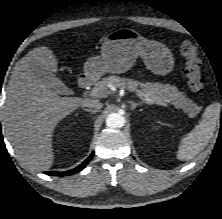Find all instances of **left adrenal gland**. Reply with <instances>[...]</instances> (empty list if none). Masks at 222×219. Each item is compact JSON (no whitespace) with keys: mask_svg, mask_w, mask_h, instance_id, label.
Here are the masks:
<instances>
[{"mask_svg":"<svg viewBox=\"0 0 222 219\" xmlns=\"http://www.w3.org/2000/svg\"><path fill=\"white\" fill-rule=\"evenodd\" d=\"M129 103L131 104V109H132V110H135L138 106L141 105V102L135 103V102H133V101H129Z\"/></svg>","mask_w":222,"mask_h":219,"instance_id":"a2214340","label":"left adrenal gland"}]
</instances>
